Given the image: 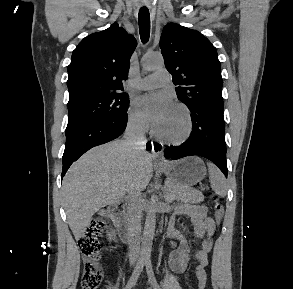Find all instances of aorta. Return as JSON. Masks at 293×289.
Returning <instances> with one entry per match:
<instances>
[{
    "mask_svg": "<svg viewBox=\"0 0 293 289\" xmlns=\"http://www.w3.org/2000/svg\"><path fill=\"white\" fill-rule=\"evenodd\" d=\"M164 65L163 58L156 55H147L143 59V68L147 71L156 70ZM156 197L152 196L148 205L147 216L145 220L141 254L145 257H149L152 249V242L155 233L156 226Z\"/></svg>",
    "mask_w": 293,
    "mask_h": 289,
    "instance_id": "aorta-1",
    "label": "aorta"
}]
</instances>
